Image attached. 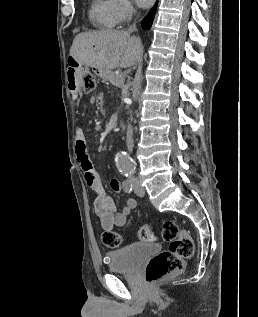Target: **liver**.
Wrapping results in <instances>:
<instances>
[{"mask_svg": "<svg viewBox=\"0 0 258 317\" xmlns=\"http://www.w3.org/2000/svg\"><path fill=\"white\" fill-rule=\"evenodd\" d=\"M141 40L130 36L127 30H93L79 32L70 48L79 64L94 66L98 70H111L117 66H132L141 52ZM123 54V56H122Z\"/></svg>", "mask_w": 258, "mask_h": 317, "instance_id": "1", "label": "liver"}]
</instances>
